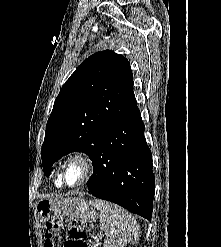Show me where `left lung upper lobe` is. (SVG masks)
<instances>
[{"instance_id":"left-lung-upper-lobe-1","label":"left lung upper lobe","mask_w":221,"mask_h":247,"mask_svg":"<svg viewBox=\"0 0 221 247\" xmlns=\"http://www.w3.org/2000/svg\"><path fill=\"white\" fill-rule=\"evenodd\" d=\"M129 61L110 50L97 52L62 86L47 121L41 158L46 176L63 155L83 152L92 160L103 133L115 120L138 111Z\"/></svg>"}]
</instances>
